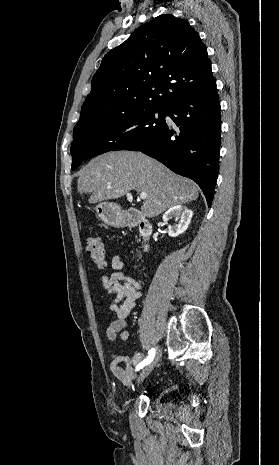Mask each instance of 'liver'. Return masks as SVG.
<instances>
[{"mask_svg": "<svg viewBox=\"0 0 279 465\" xmlns=\"http://www.w3.org/2000/svg\"><path fill=\"white\" fill-rule=\"evenodd\" d=\"M133 189L147 194L141 213L148 218L198 198L193 181L134 151H113L95 157L81 169L77 182L78 192L90 194L91 204L117 199Z\"/></svg>", "mask_w": 279, "mask_h": 465, "instance_id": "1", "label": "liver"}]
</instances>
